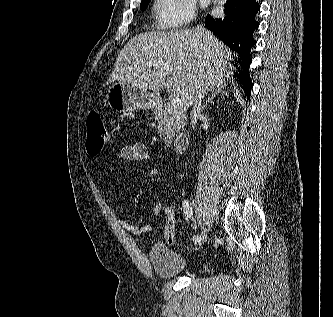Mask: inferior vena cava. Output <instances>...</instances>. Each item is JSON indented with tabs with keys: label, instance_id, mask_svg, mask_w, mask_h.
<instances>
[{
	"label": "inferior vena cava",
	"instance_id": "602c4592",
	"mask_svg": "<svg viewBox=\"0 0 333 317\" xmlns=\"http://www.w3.org/2000/svg\"><path fill=\"white\" fill-rule=\"evenodd\" d=\"M197 31L199 34L203 35L204 34V28L202 27H197ZM208 86L206 83H201L197 93L195 94L194 98H193V107H192V111H191V125L194 129V126L196 125L197 122V117L199 116L200 112H201V103L202 100L207 92Z\"/></svg>",
	"mask_w": 333,
	"mask_h": 317
}]
</instances>
